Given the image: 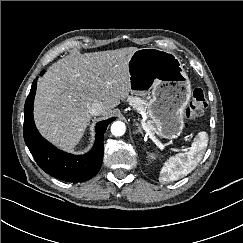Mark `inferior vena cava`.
I'll return each instance as SVG.
<instances>
[{"mask_svg": "<svg viewBox=\"0 0 243 243\" xmlns=\"http://www.w3.org/2000/svg\"><path fill=\"white\" fill-rule=\"evenodd\" d=\"M104 111V105L101 103V102H92L90 107H89V112L92 114V115H101Z\"/></svg>", "mask_w": 243, "mask_h": 243, "instance_id": "obj_1", "label": "inferior vena cava"}]
</instances>
